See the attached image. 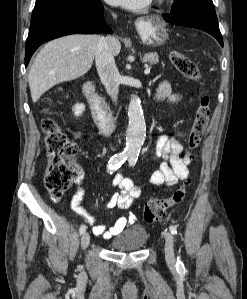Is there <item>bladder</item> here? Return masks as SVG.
Here are the masks:
<instances>
[{
    "mask_svg": "<svg viewBox=\"0 0 247 299\" xmlns=\"http://www.w3.org/2000/svg\"><path fill=\"white\" fill-rule=\"evenodd\" d=\"M147 239L146 229L140 225H133L119 233L111 241V246L117 251H135L141 249Z\"/></svg>",
    "mask_w": 247,
    "mask_h": 299,
    "instance_id": "1",
    "label": "bladder"
}]
</instances>
